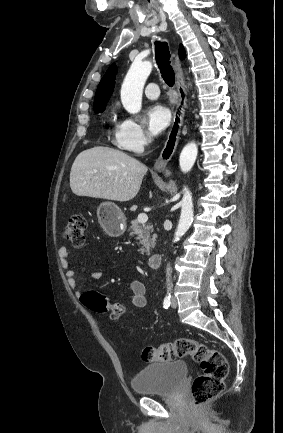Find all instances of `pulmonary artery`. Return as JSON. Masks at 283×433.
<instances>
[{
  "label": "pulmonary artery",
  "instance_id": "1",
  "mask_svg": "<svg viewBox=\"0 0 283 433\" xmlns=\"http://www.w3.org/2000/svg\"><path fill=\"white\" fill-rule=\"evenodd\" d=\"M156 83L150 82L145 85V95L149 99H157L160 95L159 88H156Z\"/></svg>",
  "mask_w": 283,
  "mask_h": 433
}]
</instances>
